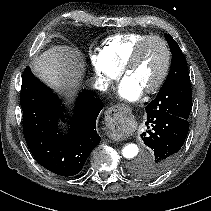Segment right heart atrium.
Segmentation results:
<instances>
[{"label": "right heart atrium", "mask_w": 211, "mask_h": 211, "mask_svg": "<svg viewBox=\"0 0 211 211\" xmlns=\"http://www.w3.org/2000/svg\"><path fill=\"white\" fill-rule=\"evenodd\" d=\"M89 59L95 73L98 84L107 88L121 73V69L112 66L101 54L100 51H92Z\"/></svg>", "instance_id": "d8ad5b80"}]
</instances>
